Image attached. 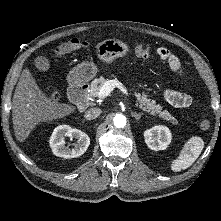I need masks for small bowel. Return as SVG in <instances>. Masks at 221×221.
<instances>
[{
  "label": "small bowel",
  "mask_w": 221,
  "mask_h": 221,
  "mask_svg": "<svg viewBox=\"0 0 221 221\" xmlns=\"http://www.w3.org/2000/svg\"><path fill=\"white\" fill-rule=\"evenodd\" d=\"M158 52H166L168 55H170L171 62L169 63V65L171 69L176 73L181 74L180 63L173 54H171L167 49L164 48L158 49ZM163 97L170 105L177 108H187L194 104V100L190 95L175 90H164Z\"/></svg>",
  "instance_id": "obj_1"
}]
</instances>
